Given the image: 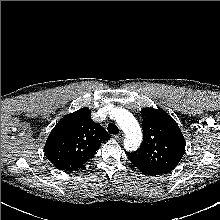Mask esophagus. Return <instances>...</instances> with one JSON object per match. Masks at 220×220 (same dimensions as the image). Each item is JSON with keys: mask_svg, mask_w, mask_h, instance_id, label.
<instances>
[{"mask_svg": "<svg viewBox=\"0 0 220 220\" xmlns=\"http://www.w3.org/2000/svg\"><path fill=\"white\" fill-rule=\"evenodd\" d=\"M123 138H124V134L123 133H120V134L115 136V139L119 140V141H121Z\"/></svg>", "mask_w": 220, "mask_h": 220, "instance_id": "obj_1", "label": "esophagus"}]
</instances>
